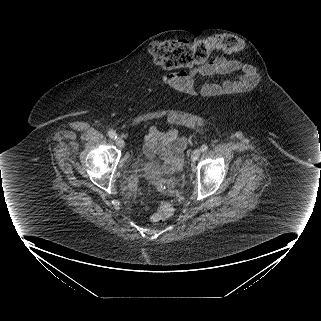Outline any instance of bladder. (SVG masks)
<instances>
[{"instance_id": "obj_1", "label": "bladder", "mask_w": 321, "mask_h": 321, "mask_svg": "<svg viewBox=\"0 0 321 321\" xmlns=\"http://www.w3.org/2000/svg\"><path fill=\"white\" fill-rule=\"evenodd\" d=\"M147 156V155H146ZM138 171L146 177L157 180L165 178L166 175L161 171L160 165L153 157L147 156L137 163Z\"/></svg>"}]
</instances>
